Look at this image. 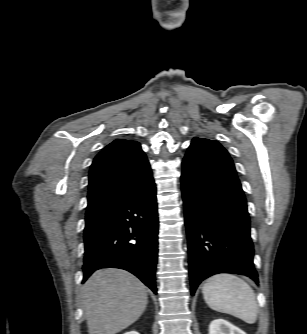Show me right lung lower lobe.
<instances>
[{
    "mask_svg": "<svg viewBox=\"0 0 307 334\" xmlns=\"http://www.w3.org/2000/svg\"><path fill=\"white\" fill-rule=\"evenodd\" d=\"M157 235L156 188L151 181L85 227L83 283L100 268H121L156 294Z\"/></svg>",
    "mask_w": 307,
    "mask_h": 334,
    "instance_id": "obj_1",
    "label": "right lung lower lobe"
}]
</instances>
